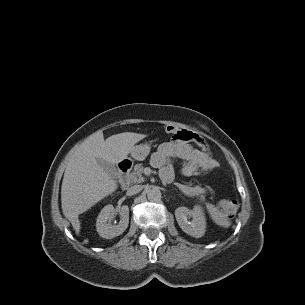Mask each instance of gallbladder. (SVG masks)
Wrapping results in <instances>:
<instances>
[{"label": "gallbladder", "instance_id": "obj_1", "mask_svg": "<svg viewBox=\"0 0 305 305\" xmlns=\"http://www.w3.org/2000/svg\"><path fill=\"white\" fill-rule=\"evenodd\" d=\"M97 162L110 177H115L117 175V169L113 164L102 159H97Z\"/></svg>", "mask_w": 305, "mask_h": 305}]
</instances>
